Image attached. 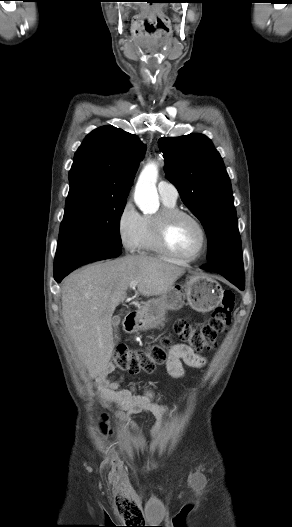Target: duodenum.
Instances as JSON below:
<instances>
[{"label":"duodenum","instance_id":"1","mask_svg":"<svg viewBox=\"0 0 292 527\" xmlns=\"http://www.w3.org/2000/svg\"><path fill=\"white\" fill-rule=\"evenodd\" d=\"M138 322V314L136 312H130L125 320V327L128 331L133 330Z\"/></svg>","mask_w":292,"mask_h":527}]
</instances>
